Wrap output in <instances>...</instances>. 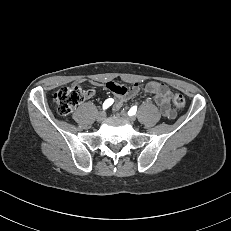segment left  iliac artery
Here are the masks:
<instances>
[{"label": "left iliac artery", "instance_id": "obj_1", "mask_svg": "<svg viewBox=\"0 0 231 231\" xmlns=\"http://www.w3.org/2000/svg\"><path fill=\"white\" fill-rule=\"evenodd\" d=\"M136 111H137V106L135 105V106H133L130 110H129V112H128V114L131 116V115H134L135 113H136Z\"/></svg>", "mask_w": 231, "mask_h": 231}]
</instances>
